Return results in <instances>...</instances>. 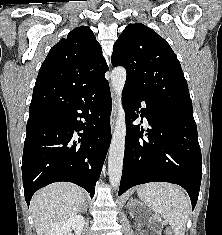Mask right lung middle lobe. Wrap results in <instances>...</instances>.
I'll return each mask as SVG.
<instances>
[{
    "label": "right lung middle lobe",
    "mask_w": 222,
    "mask_h": 235,
    "mask_svg": "<svg viewBox=\"0 0 222 235\" xmlns=\"http://www.w3.org/2000/svg\"><path fill=\"white\" fill-rule=\"evenodd\" d=\"M40 123H33V122H27V129L33 128L35 126H37Z\"/></svg>",
    "instance_id": "dd1d6c3e"
}]
</instances>
